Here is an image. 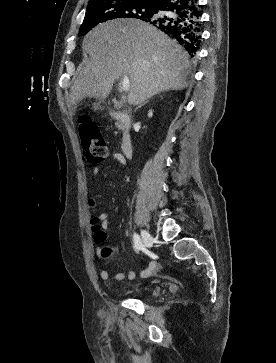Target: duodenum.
<instances>
[{
    "label": "duodenum",
    "instance_id": "duodenum-1",
    "mask_svg": "<svg viewBox=\"0 0 276 363\" xmlns=\"http://www.w3.org/2000/svg\"><path fill=\"white\" fill-rule=\"evenodd\" d=\"M110 115L119 121L122 129L121 148L125 158L129 159L133 154V141L131 136L132 117L127 110H110Z\"/></svg>",
    "mask_w": 276,
    "mask_h": 363
}]
</instances>
